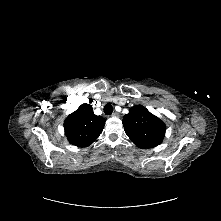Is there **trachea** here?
Instances as JSON below:
<instances>
[{
  "label": "trachea",
  "instance_id": "1",
  "mask_svg": "<svg viewBox=\"0 0 221 221\" xmlns=\"http://www.w3.org/2000/svg\"><path fill=\"white\" fill-rule=\"evenodd\" d=\"M112 112H113V106H112L111 104H106V105L104 106V113H105L106 115H111Z\"/></svg>",
  "mask_w": 221,
  "mask_h": 221
}]
</instances>
